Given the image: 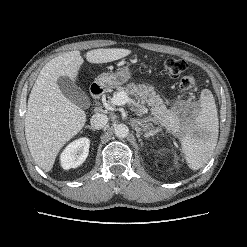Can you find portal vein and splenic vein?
<instances>
[{
	"label": "portal vein and splenic vein",
	"mask_w": 247,
	"mask_h": 247,
	"mask_svg": "<svg viewBox=\"0 0 247 247\" xmlns=\"http://www.w3.org/2000/svg\"><path fill=\"white\" fill-rule=\"evenodd\" d=\"M129 102H131V99L128 97V95L125 92H118L111 98V103L113 105L122 106ZM138 106L141 111L147 112V109L144 106L141 105Z\"/></svg>",
	"instance_id": "18ae733b"
}]
</instances>
